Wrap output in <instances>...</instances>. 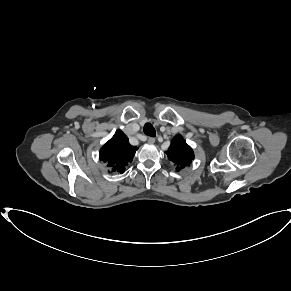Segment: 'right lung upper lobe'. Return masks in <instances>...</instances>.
<instances>
[{"instance_id":"1","label":"right lung upper lobe","mask_w":291,"mask_h":291,"mask_svg":"<svg viewBox=\"0 0 291 291\" xmlns=\"http://www.w3.org/2000/svg\"><path fill=\"white\" fill-rule=\"evenodd\" d=\"M137 148L129 144L128 138L122 131L114 136L101 148L100 160L111 167L112 171L124 173L126 165L132 161Z\"/></svg>"}]
</instances>
